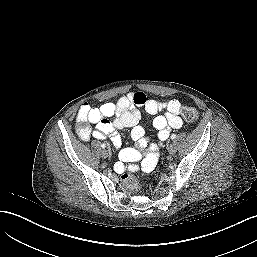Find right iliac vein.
I'll list each match as a JSON object with an SVG mask.
<instances>
[{"label": "right iliac vein", "instance_id": "obj_1", "mask_svg": "<svg viewBox=\"0 0 257 257\" xmlns=\"http://www.w3.org/2000/svg\"><path fill=\"white\" fill-rule=\"evenodd\" d=\"M102 157H103V158H107V157H108V152H107V150H103V151H102Z\"/></svg>", "mask_w": 257, "mask_h": 257}]
</instances>
